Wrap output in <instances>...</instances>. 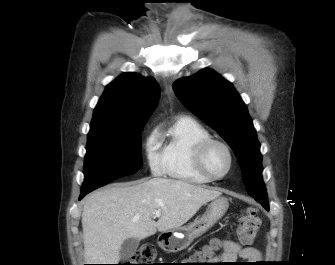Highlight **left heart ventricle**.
I'll return each mask as SVG.
<instances>
[{
    "mask_svg": "<svg viewBox=\"0 0 335 265\" xmlns=\"http://www.w3.org/2000/svg\"><path fill=\"white\" fill-rule=\"evenodd\" d=\"M205 164L214 175L225 173L229 165V158L225 149L219 145L211 146L206 153Z\"/></svg>",
    "mask_w": 335,
    "mask_h": 265,
    "instance_id": "1",
    "label": "left heart ventricle"
}]
</instances>
